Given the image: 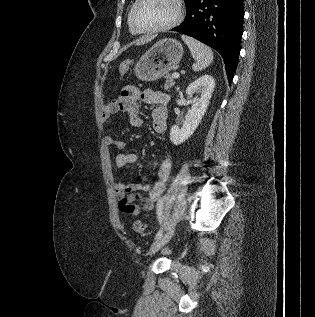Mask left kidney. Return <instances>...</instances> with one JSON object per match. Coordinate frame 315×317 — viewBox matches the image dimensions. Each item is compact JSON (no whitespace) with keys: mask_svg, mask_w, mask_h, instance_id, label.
Returning a JSON list of instances; mask_svg holds the SVG:
<instances>
[{"mask_svg":"<svg viewBox=\"0 0 315 317\" xmlns=\"http://www.w3.org/2000/svg\"><path fill=\"white\" fill-rule=\"evenodd\" d=\"M215 87V80L210 75H203L192 82L186 89L190 97L198 93L200 97L192 100V107L188 110L181 129L174 125L170 129V140L174 145L185 142L196 130L209 105Z\"/></svg>","mask_w":315,"mask_h":317,"instance_id":"obj_1","label":"left kidney"}]
</instances>
